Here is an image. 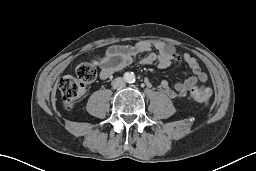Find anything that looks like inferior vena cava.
<instances>
[{
    "mask_svg": "<svg viewBox=\"0 0 256 171\" xmlns=\"http://www.w3.org/2000/svg\"><path fill=\"white\" fill-rule=\"evenodd\" d=\"M125 86V80L122 77H117L112 81V87L114 89H121Z\"/></svg>",
    "mask_w": 256,
    "mask_h": 171,
    "instance_id": "602c4592",
    "label": "inferior vena cava"
}]
</instances>
